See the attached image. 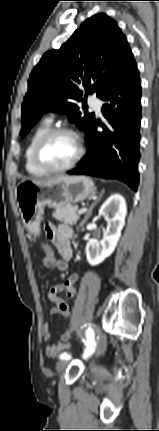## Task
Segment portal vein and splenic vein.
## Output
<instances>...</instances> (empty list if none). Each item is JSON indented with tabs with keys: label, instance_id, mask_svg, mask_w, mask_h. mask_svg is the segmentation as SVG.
Wrapping results in <instances>:
<instances>
[{
	"label": "portal vein and splenic vein",
	"instance_id": "obj_1",
	"mask_svg": "<svg viewBox=\"0 0 159 431\" xmlns=\"http://www.w3.org/2000/svg\"><path fill=\"white\" fill-rule=\"evenodd\" d=\"M86 210H87L86 208H82L78 211V214H83L86 212Z\"/></svg>",
	"mask_w": 159,
	"mask_h": 431
}]
</instances>
